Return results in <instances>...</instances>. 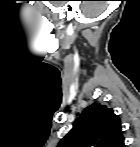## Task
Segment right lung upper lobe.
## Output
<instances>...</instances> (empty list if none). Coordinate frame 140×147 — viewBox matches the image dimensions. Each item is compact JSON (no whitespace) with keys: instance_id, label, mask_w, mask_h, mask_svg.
<instances>
[{"instance_id":"right-lung-upper-lobe-1","label":"right lung upper lobe","mask_w":140,"mask_h":147,"mask_svg":"<svg viewBox=\"0 0 140 147\" xmlns=\"http://www.w3.org/2000/svg\"><path fill=\"white\" fill-rule=\"evenodd\" d=\"M120 118L100 103L85 108L58 147H124Z\"/></svg>"}]
</instances>
